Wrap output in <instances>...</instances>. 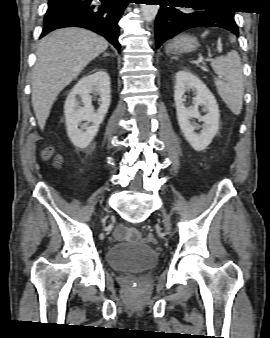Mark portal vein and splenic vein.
Instances as JSON below:
<instances>
[{
    "mask_svg": "<svg viewBox=\"0 0 270 338\" xmlns=\"http://www.w3.org/2000/svg\"><path fill=\"white\" fill-rule=\"evenodd\" d=\"M203 61V57H199V59L197 60V63H201Z\"/></svg>",
    "mask_w": 270,
    "mask_h": 338,
    "instance_id": "obj_1",
    "label": "portal vein and splenic vein"
}]
</instances>
